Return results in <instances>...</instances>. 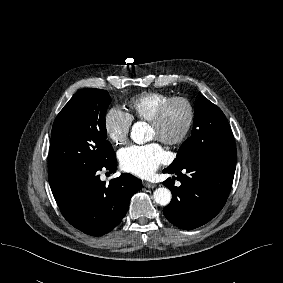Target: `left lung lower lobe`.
Wrapping results in <instances>:
<instances>
[{"mask_svg":"<svg viewBox=\"0 0 283 283\" xmlns=\"http://www.w3.org/2000/svg\"><path fill=\"white\" fill-rule=\"evenodd\" d=\"M236 167V152L192 160L166 168L175 174L163 182L172 192L171 202L163 209L175 226L191 230L213 219L223 208L231 190ZM181 182L174 186V180Z\"/></svg>","mask_w":283,"mask_h":283,"instance_id":"0a47b994","label":"left lung lower lobe"}]
</instances>
